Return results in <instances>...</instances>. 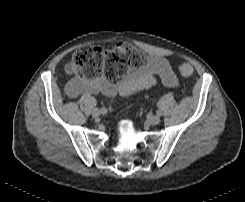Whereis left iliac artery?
I'll return each instance as SVG.
<instances>
[{
    "label": "left iliac artery",
    "mask_w": 245,
    "mask_h": 202,
    "mask_svg": "<svg viewBox=\"0 0 245 202\" xmlns=\"http://www.w3.org/2000/svg\"><path fill=\"white\" fill-rule=\"evenodd\" d=\"M157 115L158 116H161L162 115V112L160 110L157 111Z\"/></svg>",
    "instance_id": "44dca946"
}]
</instances>
